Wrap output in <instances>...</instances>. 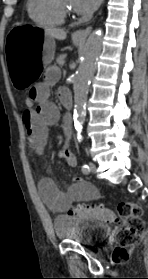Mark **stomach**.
<instances>
[{
  "label": "stomach",
  "instance_id": "0dacf381",
  "mask_svg": "<svg viewBox=\"0 0 148 279\" xmlns=\"http://www.w3.org/2000/svg\"><path fill=\"white\" fill-rule=\"evenodd\" d=\"M11 28L5 35L6 48L25 50H5L7 63H10L6 69H10L13 91H30V87L39 82L44 67L52 63L55 43L39 25H12Z\"/></svg>",
  "mask_w": 148,
  "mask_h": 279
}]
</instances>
